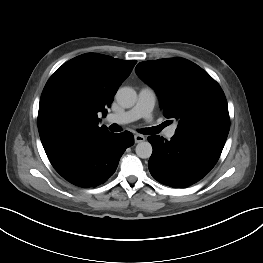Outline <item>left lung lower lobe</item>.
Segmentation results:
<instances>
[{
    "mask_svg": "<svg viewBox=\"0 0 263 263\" xmlns=\"http://www.w3.org/2000/svg\"><path fill=\"white\" fill-rule=\"evenodd\" d=\"M227 138L177 132L170 141L148 137L153 153L148 167L161 184L186 188L207 175L218 161Z\"/></svg>",
    "mask_w": 263,
    "mask_h": 263,
    "instance_id": "obj_1",
    "label": "left lung lower lobe"
}]
</instances>
